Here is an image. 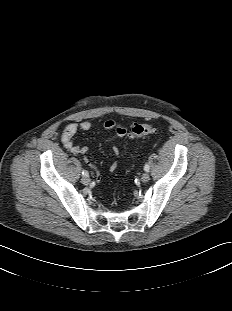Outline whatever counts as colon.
<instances>
[{"label":"colon","mask_w":232,"mask_h":311,"mask_svg":"<svg viewBox=\"0 0 232 311\" xmlns=\"http://www.w3.org/2000/svg\"><path fill=\"white\" fill-rule=\"evenodd\" d=\"M156 132V128L147 123L135 124L132 126L129 136L132 138H143L149 135H152Z\"/></svg>","instance_id":"1"}]
</instances>
